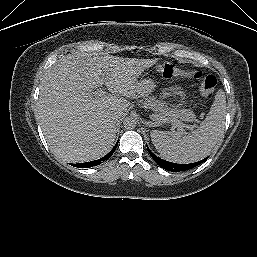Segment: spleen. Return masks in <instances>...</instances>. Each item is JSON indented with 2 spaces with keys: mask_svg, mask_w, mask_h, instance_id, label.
Returning <instances> with one entry per match:
<instances>
[{
  "mask_svg": "<svg viewBox=\"0 0 257 257\" xmlns=\"http://www.w3.org/2000/svg\"><path fill=\"white\" fill-rule=\"evenodd\" d=\"M226 97L218 91L211 110L200 126L181 136L167 131L153 130L151 140L161 157L175 163H192L208 156L224 134Z\"/></svg>",
  "mask_w": 257,
  "mask_h": 257,
  "instance_id": "obj_1",
  "label": "spleen"
}]
</instances>
